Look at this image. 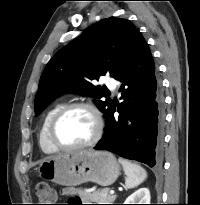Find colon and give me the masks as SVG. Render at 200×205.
<instances>
[{"instance_id": "obj_1", "label": "colon", "mask_w": 200, "mask_h": 205, "mask_svg": "<svg viewBox=\"0 0 200 205\" xmlns=\"http://www.w3.org/2000/svg\"><path fill=\"white\" fill-rule=\"evenodd\" d=\"M35 193L40 204L38 205H55L57 199L56 191L46 182H38L35 185Z\"/></svg>"}]
</instances>
